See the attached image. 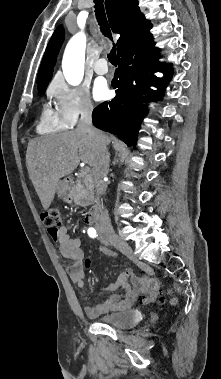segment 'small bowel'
Instances as JSON below:
<instances>
[{
  "label": "small bowel",
  "mask_w": 221,
  "mask_h": 379,
  "mask_svg": "<svg viewBox=\"0 0 221 379\" xmlns=\"http://www.w3.org/2000/svg\"><path fill=\"white\" fill-rule=\"evenodd\" d=\"M52 239L58 243L60 252L63 257L73 260V263L67 267V273L70 281L77 285L81 290L84 289L85 271H92V264H84V251L81 248V239L78 235L71 237L67 226L58 227ZM101 252L108 253L107 250L101 249ZM89 262L95 259L94 253L88 254ZM118 288L122 289L121 294H116ZM102 291L110 294L101 301L87 305L84 311L87 316L95 317L99 314L109 311L126 310L134 306L141 296L147 293L146 280L136 277L129 270H124L114 283L101 288Z\"/></svg>",
  "instance_id": "c3829d8e"
}]
</instances>
